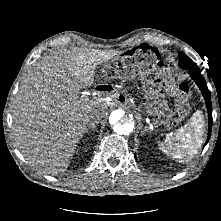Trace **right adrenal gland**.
I'll return each mask as SVG.
<instances>
[{"label":"right adrenal gland","instance_id":"obj_1","mask_svg":"<svg viewBox=\"0 0 221 221\" xmlns=\"http://www.w3.org/2000/svg\"><path fill=\"white\" fill-rule=\"evenodd\" d=\"M96 125H92V126H90L87 130H86V133H89L90 131H95L96 130ZM89 129H90V131H89Z\"/></svg>","mask_w":221,"mask_h":221}]
</instances>
